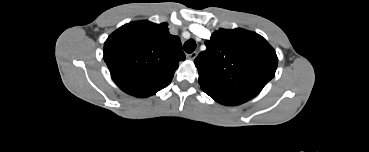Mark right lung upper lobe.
Returning <instances> with one entry per match:
<instances>
[{"instance_id": "1", "label": "right lung upper lobe", "mask_w": 369, "mask_h": 152, "mask_svg": "<svg viewBox=\"0 0 369 152\" xmlns=\"http://www.w3.org/2000/svg\"><path fill=\"white\" fill-rule=\"evenodd\" d=\"M103 58L124 92L148 97L170 84L185 54L180 38L169 33L167 23L137 21L107 38Z\"/></svg>"}]
</instances>
